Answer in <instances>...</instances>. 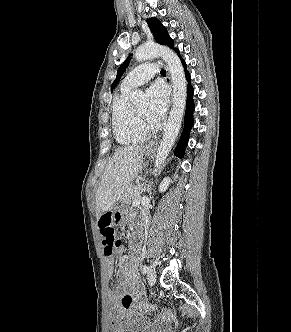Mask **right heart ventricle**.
Returning <instances> with one entry per match:
<instances>
[{
    "label": "right heart ventricle",
    "mask_w": 291,
    "mask_h": 332,
    "mask_svg": "<svg viewBox=\"0 0 291 332\" xmlns=\"http://www.w3.org/2000/svg\"><path fill=\"white\" fill-rule=\"evenodd\" d=\"M129 89L121 88L112 103V128L116 141L122 145L136 144L147 137L138 125L134 107L129 101Z\"/></svg>",
    "instance_id": "1"
}]
</instances>
